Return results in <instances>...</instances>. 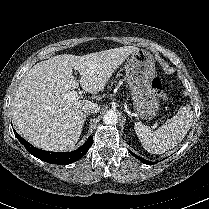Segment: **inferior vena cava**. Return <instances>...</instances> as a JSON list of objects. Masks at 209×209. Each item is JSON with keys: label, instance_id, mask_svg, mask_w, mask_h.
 I'll return each mask as SVG.
<instances>
[{"label": "inferior vena cava", "instance_id": "1", "mask_svg": "<svg viewBox=\"0 0 209 209\" xmlns=\"http://www.w3.org/2000/svg\"><path fill=\"white\" fill-rule=\"evenodd\" d=\"M82 110L89 114V113H98L100 110V106L96 103L92 102H87L86 104L83 105Z\"/></svg>", "mask_w": 209, "mask_h": 209}]
</instances>
